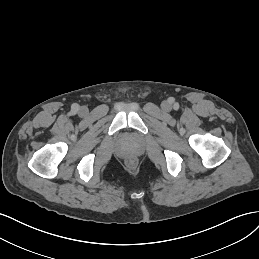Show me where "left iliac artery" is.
Listing matches in <instances>:
<instances>
[{
    "instance_id": "44dca946",
    "label": "left iliac artery",
    "mask_w": 259,
    "mask_h": 259,
    "mask_svg": "<svg viewBox=\"0 0 259 259\" xmlns=\"http://www.w3.org/2000/svg\"><path fill=\"white\" fill-rule=\"evenodd\" d=\"M178 107H179L178 104H175V105H174V108H175V109H178Z\"/></svg>"
}]
</instances>
